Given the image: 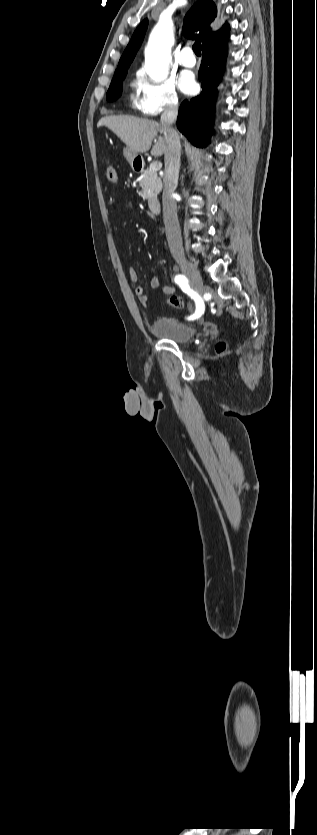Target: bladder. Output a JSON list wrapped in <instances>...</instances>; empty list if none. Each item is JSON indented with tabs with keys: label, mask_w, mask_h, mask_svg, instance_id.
I'll return each instance as SVG.
<instances>
[{
	"label": "bladder",
	"mask_w": 317,
	"mask_h": 835,
	"mask_svg": "<svg viewBox=\"0 0 317 835\" xmlns=\"http://www.w3.org/2000/svg\"><path fill=\"white\" fill-rule=\"evenodd\" d=\"M151 331L157 337L176 343L188 342L198 333L196 327L171 317L157 319L152 324Z\"/></svg>",
	"instance_id": "bladder-1"
}]
</instances>
